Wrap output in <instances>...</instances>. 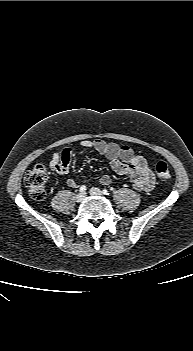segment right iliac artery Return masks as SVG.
<instances>
[{
    "label": "right iliac artery",
    "instance_id": "right-iliac-artery-1",
    "mask_svg": "<svg viewBox=\"0 0 193 351\" xmlns=\"http://www.w3.org/2000/svg\"><path fill=\"white\" fill-rule=\"evenodd\" d=\"M87 190V187L85 185H82L79 189L80 193H85V191Z\"/></svg>",
    "mask_w": 193,
    "mask_h": 351
}]
</instances>
